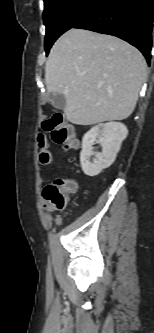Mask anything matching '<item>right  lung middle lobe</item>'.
Wrapping results in <instances>:
<instances>
[{"label":"right lung middle lobe","instance_id":"obj_1","mask_svg":"<svg viewBox=\"0 0 154 333\" xmlns=\"http://www.w3.org/2000/svg\"><path fill=\"white\" fill-rule=\"evenodd\" d=\"M99 0H44L46 53L56 39L80 21Z\"/></svg>","mask_w":154,"mask_h":333}]
</instances>
